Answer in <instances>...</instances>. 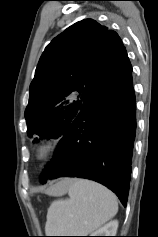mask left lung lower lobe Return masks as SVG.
I'll list each match as a JSON object with an SVG mask.
<instances>
[{
    "mask_svg": "<svg viewBox=\"0 0 158 237\" xmlns=\"http://www.w3.org/2000/svg\"><path fill=\"white\" fill-rule=\"evenodd\" d=\"M132 70L97 93L61 138L41 182L81 177L111 189L126 206L136 133Z\"/></svg>",
    "mask_w": 158,
    "mask_h": 237,
    "instance_id": "0a47b994",
    "label": "left lung lower lobe"
}]
</instances>
